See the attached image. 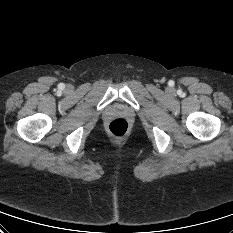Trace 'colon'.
I'll return each mask as SVG.
<instances>
[{
    "instance_id": "1",
    "label": "colon",
    "mask_w": 233,
    "mask_h": 233,
    "mask_svg": "<svg viewBox=\"0 0 233 233\" xmlns=\"http://www.w3.org/2000/svg\"><path fill=\"white\" fill-rule=\"evenodd\" d=\"M108 131L116 138H123L129 131V124L125 119L117 118L109 123Z\"/></svg>"
}]
</instances>
